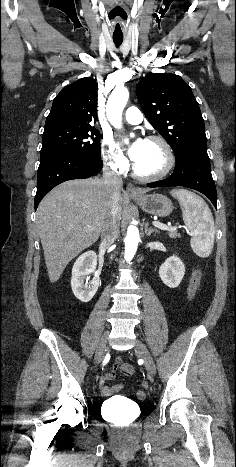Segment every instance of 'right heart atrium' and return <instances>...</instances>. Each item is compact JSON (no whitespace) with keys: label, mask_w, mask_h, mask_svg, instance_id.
Returning <instances> with one entry per match:
<instances>
[{"label":"right heart atrium","mask_w":236,"mask_h":467,"mask_svg":"<svg viewBox=\"0 0 236 467\" xmlns=\"http://www.w3.org/2000/svg\"><path fill=\"white\" fill-rule=\"evenodd\" d=\"M101 155L105 165L112 171L121 172L128 166L126 157L122 154L111 136L105 135L102 137Z\"/></svg>","instance_id":"obj_1"}]
</instances>
